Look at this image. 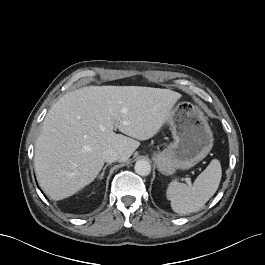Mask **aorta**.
<instances>
[{
  "label": "aorta",
  "mask_w": 265,
  "mask_h": 265,
  "mask_svg": "<svg viewBox=\"0 0 265 265\" xmlns=\"http://www.w3.org/2000/svg\"><path fill=\"white\" fill-rule=\"evenodd\" d=\"M135 172L141 176H147L151 172V165L147 160H138L134 166Z\"/></svg>",
  "instance_id": "762f6f07"
}]
</instances>
